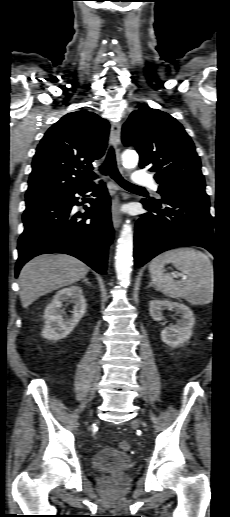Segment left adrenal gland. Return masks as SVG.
Instances as JSON below:
<instances>
[{"label": "left adrenal gland", "instance_id": "1", "mask_svg": "<svg viewBox=\"0 0 230 517\" xmlns=\"http://www.w3.org/2000/svg\"><path fill=\"white\" fill-rule=\"evenodd\" d=\"M152 285H153V284H152V283H150V284L148 285V287H151Z\"/></svg>", "mask_w": 230, "mask_h": 517}]
</instances>
